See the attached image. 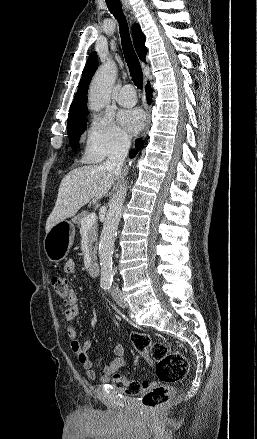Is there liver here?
Instances as JSON below:
<instances>
[{
	"label": "liver",
	"instance_id": "6515ba94",
	"mask_svg": "<svg viewBox=\"0 0 257 439\" xmlns=\"http://www.w3.org/2000/svg\"><path fill=\"white\" fill-rule=\"evenodd\" d=\"M118 174L104 164L70 171L61 181L55 207L46 221V233L57 223L74 216L91 199L104 197Z\"/></svg>",
	"mask_w": 257,
	"mask_h": 439
}]
</instances>
